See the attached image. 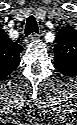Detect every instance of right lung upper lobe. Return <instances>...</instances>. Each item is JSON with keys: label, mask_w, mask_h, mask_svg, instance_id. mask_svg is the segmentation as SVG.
<instances>
[{"label": "right lung upper lobe", "mask_w": 77, "mask_h": 125, "mask_svg": "<svg viewBox=\"0 0 77 125\" xmlns=\"http://www.w3.org/2000/svg\"><path fill=\"white\" fill-rule=\"evenodd\" d=\"M21 45L9 39L5 31L0 30V77L6 78L20 63Z\"/></svg>", "instance_id": "obj_1"}]
</instances>
